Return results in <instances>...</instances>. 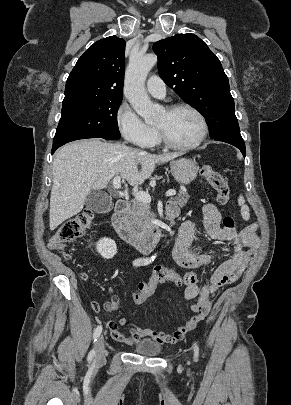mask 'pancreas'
<instances>
[{
	"mask_svg": "<svg viewBox=\"0 0 291 405\" xmlns=\"http://www.w3.org/2000/svg\"><path fill=\"white\" fill-rule=\"evenodd\" d=\"M189 194L184 191H180L174 198V201L180 206L184 207L189 199ZM154 217V213L151 212L150 206L147 203H143L138 200H133L132 211L129 214V220L131 222L133 230L139 235L147 234L154 226L151 223V218Z\"/></svg>",
	"mask_w": 291,
	"mask_h": 405,
	"instance_id": "1",
	"label": "pancreas"
}]
</instances>
